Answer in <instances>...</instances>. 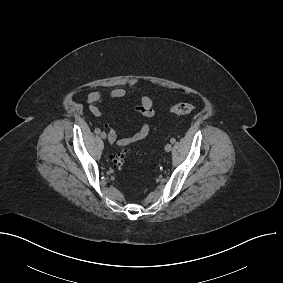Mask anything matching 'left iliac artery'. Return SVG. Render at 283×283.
<instances>
[{"mask_svg": "<svg viewBox=\"0 0 283 283\" xmlns=\"http://www.w3.org/2000/svg\"><path fill=\"white\" fill-rule=\"evenodd\" d=\"M170 142H171V143H175V142H176V139H175V138H172V139L170 140Z\"/></svg>", "mask_w": 283, "mask_h": 283, "instance_id": "obj_1", "label": "left iliac artery"}]
</instances>
